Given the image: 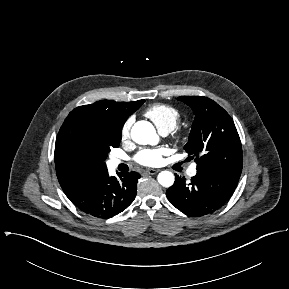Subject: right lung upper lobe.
Listing matches in <instances>:
<instances>
[{"mask_svg": "<svg viewBox=\"0 0 289 289\" xmlns=\"http://www.w3.org/2000/svg\"><path fill=\"white\" fill-rule=\"evenodd\" d=\"M144 101L145 100L115 102L110 100H101L93 104L75 108L70 112L65 121L74 118H81L90 121L106 122L110 126L122 129L127 118L139 109ZM54 157L57 178L67 196L73 194L84 184L102 173L76 175L67 170L57 155H54Z\"/></svg>", "mask_w": 289, "mask_h": 289, "instance_id": "1", "label": "right lung upper lobe"}]
</instances>
